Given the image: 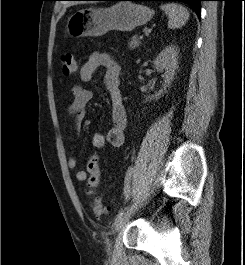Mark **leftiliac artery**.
Masks as SVG:
<instances>
[{
    "mask_svg": "<svg viewBox=\"0 0 245 265\" xmlns=\"http://www.w3.org/2000/svg\"><path fill=\"white\" fill-rule=\"evenodd\" d=\"M135 172V168L134 167H129L127 172H126V176H125V187H124V196H125V199L128 200L129 198V195H130V186H129V183H130V180H131V176L132 174ZM128 207H125L124 209H122L117 215H116V219H119L121 218L125 211L127 210Z\"/></svg>",
    "mask_w": 245,
    "mask_h": 265,
    "instance_id": "obj_1",
    "label": "left iliac artery"
}]
</instances>
